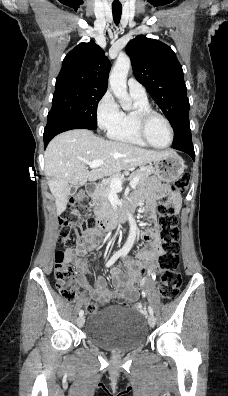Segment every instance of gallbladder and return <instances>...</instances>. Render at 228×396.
I'll return each instance as SVG.
<instances>
[{
  "mask_svg": "<svg viewBox=\"0 0 228 396\" xmlns=\"http://www.w3.org/2000/svg\"><path fill=\"white\" fill-rule=\"evenodd\" d=\"M72 191L75 192L79 187L77 185H72Z\"/></svg>",
  "mask_w": 228,
  "mask_h": 396,
  "instance_id": "obj_1",
  "label": "gallbladder"
}]
</instances>
